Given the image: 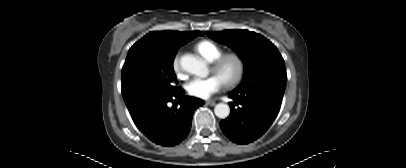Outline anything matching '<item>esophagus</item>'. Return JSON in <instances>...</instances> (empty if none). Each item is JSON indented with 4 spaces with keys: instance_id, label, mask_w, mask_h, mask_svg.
<instances>
[{
    "instance_id": "34e87169",
    "label": "esophagus",
    "mask_w": 406,
    "mask_h": 168,
    "mask_svg": "<svg viewBox=\"0 0 406 168\" xmlns=\"http://www.w3.org/2000/svg\"><path fill=\"white\" fill-rule=\"evenodd\" d=\"M205 103H206V105H210V106L216 105L215 101H206Z\"/></svg>"
}]
</instances>
